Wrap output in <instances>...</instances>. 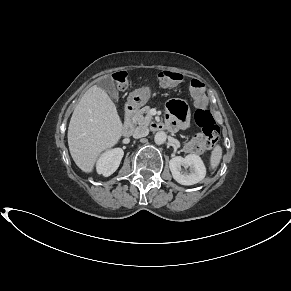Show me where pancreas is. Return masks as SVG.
<instances>
[{"instance_id":"cf45deb5","label":"pancreas","mask_w":291,"mask_h":291,"mask_svg":"<svg viewBox=\"0 0 291 291\" xmlns=\"http://www.w3.org/2000/svg\"><path fill=\"white\" fill-rule=\"evenodd\" d=\"M149 110V106H145L138 110L133 116V122L139 125H149L152 121V116L149 114Z\"/></svg>"}]
</instances>
